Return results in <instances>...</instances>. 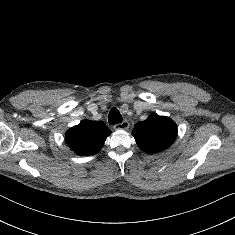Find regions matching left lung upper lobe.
<instances>
[{
  "label": "left lung upper lobe",
  "instance_id": "left-lung-upper-lobe-1",
  "mask_svg": "<svg viewBox=\"0 0 235 235\" xmlns=\"http://www.w3.org/2000/svg\"><path fill=\"white\" fill-rule=\"evenodd\" d=\"M132 135L142 151L157 153L173 144L177 126L169 117L152 113L146 120L134 126Z\"/></svg>",
  "mask_w": 235,
  "mask_h": 235
}]
</instances>
